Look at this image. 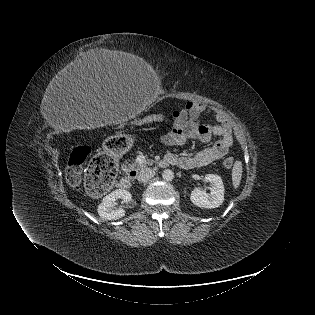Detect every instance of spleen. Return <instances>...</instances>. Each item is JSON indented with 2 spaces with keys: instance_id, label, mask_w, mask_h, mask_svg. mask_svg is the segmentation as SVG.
I'll return each mask as SVG.
<instances>
[{
  "instance_id": "spleen-1",
  "label": "spleen",
  "mask_w": 315,
  "mask_h": 315,
  "mask_svg": "<svg viewBox=\"0 0 315 315\" xmlns=\"http://www.w3.org/2000/svg\"><path fill=\"white\" fill-rule=\"evenodd\" d=\"M242 172H243L242 162L238 160L234 163V166L232 169V183H233L234 189H237L240 185Z\"/></svg>"
}]
</instances>
